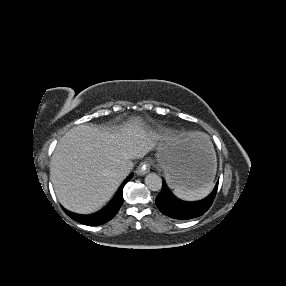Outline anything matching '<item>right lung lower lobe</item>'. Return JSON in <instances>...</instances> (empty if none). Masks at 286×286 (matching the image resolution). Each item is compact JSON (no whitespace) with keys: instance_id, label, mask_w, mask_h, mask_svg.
I'll return each instance as SVG.
<instances>
[{"instance_id":"obj_1","label":"right lung lower lobe","mask_w":286,"mask_h":286,"mask_svg":"<svg viewBox=\"0 0 286 286\" xmlns=\"http://www.w3.org/2000/svg\"><path fill=\"white\" fill-rule=\"evenodd\" d=\"M132 176V174L128 176L110 203L99 212L91 215H78L64 209L65 213L75 221L84 225L95 226L108 222L116 215L121 205L123 204V187L132 178Z\"/></svg>"}]
</instances>
